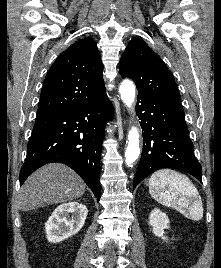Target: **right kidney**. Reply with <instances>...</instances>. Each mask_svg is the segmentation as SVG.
<instances>
[{
    "label": "right kidney",
    "instance_id": "1",
    "mask_svg": "<svg viewBox=\"0 0 221 268\" xmlns=\"http://www.w3.org/2000/svg\"><path fill=\"white\" fill-rule=\"evenodd\" d=\"M87 214L86 206L78 202L59 205L45 223L48 241L61 242L77 234L83 227Z\"/></svg>",
    "mask_w": 221,
    "mask_h": 268
}]
</instances>
